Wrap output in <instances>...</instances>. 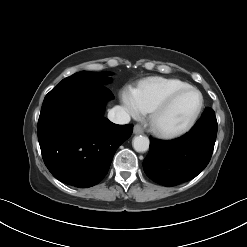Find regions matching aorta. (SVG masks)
Wrapping results in <instances>:
<instances>
[{
	"label": "aorta",
	"mask_w": 247,
	"mask_h": 247,
	"mask_svg": "<svg viewBox=\"0 0 247 247\" xmlns=\"http://www.w3.org/2000/svg\"><path fill=\"white\" fill-rule=\"evenodd\" d=\"M133 148L137 152H146L149 149V139L146 136H135L132 142Z\"/></svg>",
	"instance_id": "1"
}]
</instances>
